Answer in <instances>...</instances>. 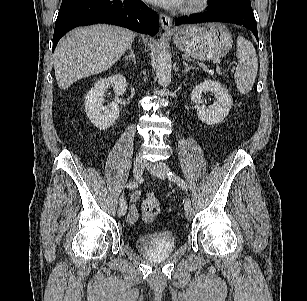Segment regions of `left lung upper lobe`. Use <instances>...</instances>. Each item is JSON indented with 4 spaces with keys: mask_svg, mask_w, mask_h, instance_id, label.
I'll use <instances>...</instances> for the list:
<instances>
[{
    "mask_svg": "<svg viewBox=\"0 0 307 301\" xmlns=\"http://www.w3.org/2000/svg\"><path fill=\"white\" fill-rule=\"evenodd\" d=\"M209 4L214 7H222V6L237 5V4L251 5L250 0H209Z\"/></svg>",
    "mask_w": 307,
    "mask_h": 301,
    "instance_id": "5c2ea615",
    "label": "left lung upper lobe"
}]
</instances>
